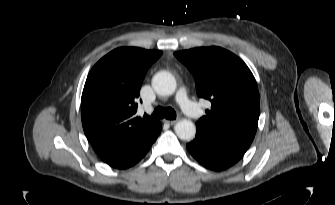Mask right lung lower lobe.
<instances>
[{"label":"right lung lower lobe","instance_id":"obj_1","mask_svg":"<svg viewBox=\"0 0 335 205\" xmlns=\"http://www.w3.org/2000/svg\"><path fill=\"white\" fill-rule=\"evenodd\" d=\"M150 147L145 150L144 152H142L140 155L131 158L129 160H125V161H119V162H112V163H108L110 166L117 168V169H126L129 168L133 165H135L137 162H139L145 155L146 153L149 151Z\"/></svg>","mask_w":335,"mask_h":205}]
</instances>
